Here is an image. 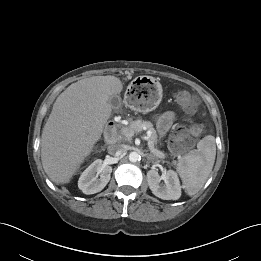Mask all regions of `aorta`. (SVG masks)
<instances>
[{
	"mask_svg": "<svg viewBox=\"0 0 261 261\" xmlns=\"http://www.w3.org/2000/svg\"><path fill=\"white\" fill-rule=\"evenodd\" d=\"M140 159V155L137 152H131L129 154L130 162H137Z\"/></svg>",
	"mask_w": 261,
	"mask_h": 261,
	"instance_id": "762f6f07",
	"label": "aorta"
}]
</instances>
